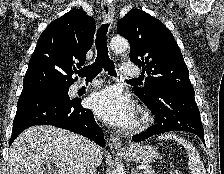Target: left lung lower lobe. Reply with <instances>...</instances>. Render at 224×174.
I'll return each instance as SVG.
<instances>
[{
	"instance_id": "0a47b994",
	"label": "left lung lower lobe",
	"mask_w": 224,
	"mask_h": 174,
	"mask_svg": "<svg viewBox=\"0 0 224 174\" xmlns=\"http://www.w3.org/2000/svg\"><path fill=\"white\" fill-rule=\"evenodd\" d=\"M194 95V89L164 88L157 90L150 99H141L155 115L156 124L133 136V141L140 142L170 131H186L199 136L205 144L203 125Z\"/></svg>"
}]
</instances>
